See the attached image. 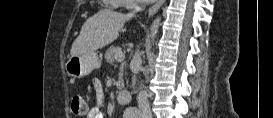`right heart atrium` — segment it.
I'll use <instances>...</instances> for the list:
<instances>
[{"label": "right heart atrium", "instance_id": "right-heart-atrium-1", "mask_svg": "<svg viewBox=\"0 0 273 118\" xmlns=\"http://www.w3.org/2000/svg\"><path fill=\"white\" fill-rule=\"evenodd\" d=\"M116 3L125 9H134L137 6L136 0H117Z\"/></svg>", "mask_w": 273, "mask_h": 118}]
</instances>
